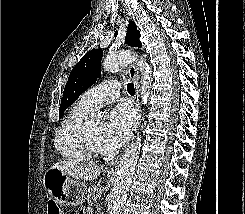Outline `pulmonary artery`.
Instances as JSON below:
<instances>
[{"label": "pulmonary artery", "mask_w": 245, "mask_h": 214, "mask_svg": "<svg viewBox=\"0 0 245 214\" xmlns=\"http://www.w3.org/2000/svg\"><path fill=\"white\" fill-rule=\"evenodd\" d=\"M119 86L116 80L104 81L85 92L80 102L91 110L100 108L118 99Z\"/></svg>", "instance_id": "1"}]
</instances>
